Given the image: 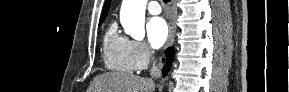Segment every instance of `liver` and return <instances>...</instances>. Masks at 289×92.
I'll use <instances>...</instances> for the list:
<instances>
[{
  "label": "liver",
  "mask_w": 289,
  "mask_h": 92,
  "mask_svg": "<svg viewBox=\"0 0 289 92\" xmlns=\"http://www.w3.org/2000/svg\"><path fill=\"white\" fill-rule=\"evenodd\" d=\"M152 79L109 72L94 78L88 92H154Z\"/></svg>",
  "instance_id": "liver-1"
}]
</instances>
